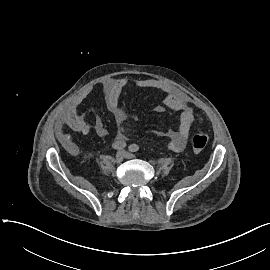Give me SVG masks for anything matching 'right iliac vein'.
<instances>
[{"label":"right iliac vein","instance_id":"obj_1","mask_svg":"<svg viewBox=\"0 0 270 270\" xmlns=\"http://www.w3.org/2000/svg\"><path fill=\"white\" fill-rule=\"evenodd\" d=\"M125 158V153L124 151H119L117 152L116 156H115V162L116 163H121L123 161V159Z\"/></svg>","mask_w":270,"mask_h":270}]
</instances>
